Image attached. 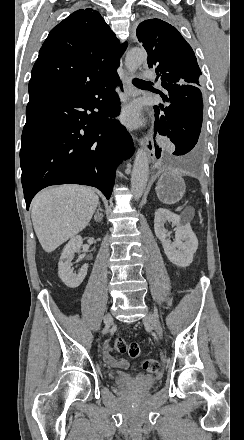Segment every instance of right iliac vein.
Returning a JSON list of instances; mask_svg holds the SVG:
<instances>
[{"label":"right iliac vein","mask_w":244,"mask_h":440,"mask_svg":"<svg viewBox=\"0 0 244 440\" xmlns=\"http://www.w3.org/2000/svg\"><path fill=\"white\" fill-rule=\"evenodd\" d=\"M104 323L106 324V330L108 331L109 330V325L111 323H113V318H112V316L109 313H107L104 316Z\"/></svg>","instance_id":"63e3f726"}]
</instances>
